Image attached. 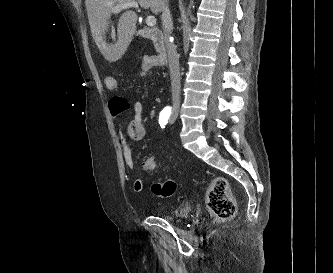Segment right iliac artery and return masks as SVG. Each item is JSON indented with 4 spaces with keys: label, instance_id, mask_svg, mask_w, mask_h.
I'll return each instance as SVG.
<instances>
[{
    "label": "right iliac artery",
    "instance_id": "right-iliac-artery-1",
    "mask_svg": "<svg viewBox=\"0 0 333 273\" xmlns=\"http://www.w3.org/2000/svg\"><path fill=\"white\" fill-rule=\"evenodd\" d=\"M171 107H165L159 115V124L161 128H165V125L168 123L169 117L171 115Z\"/></svg>",
    "mask_w": 333,
    "mask_h": 273
}]
</instances>
